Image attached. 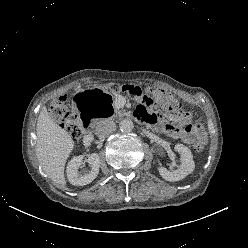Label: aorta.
<instances>
[{
  "label": "aorta",
  "mask_w": 248,
  "mask_h": 248,
  "mask_svg": "<svg viewBox=\"0 0 248 248\" xmlns=\"http://www.w3.org/2000/svg\"><path fill=\"white\" fill-rule=\"evenodd\" d=\"M119 125L122 132H131L134 128V124L130 119L121 120Z\"/></svg>",
  "instance_id": "762f6f07"
}]
</instances>
